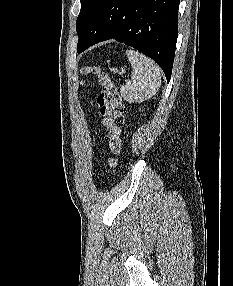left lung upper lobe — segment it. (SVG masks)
I'll return each instance as SVG.
<instances>
[{"instance_id":"left-lung-upper-lobe-1","label":"left lung upper lobe","mask_w":233,"mask_h":286,"mask_svg":"<svg viewBox=\"0 0 233 286\" xmlns=\"http://www.w3.org/2000/svg\"><path fill=\"white\" fill-rule=\"evenodd\" d=\"M96 2L97 0H81V10L76 21V29L78 36L85 27L88 17L93 10V7Z\"/></svg>"}]
</instances>
